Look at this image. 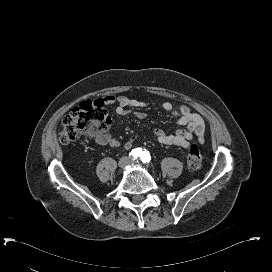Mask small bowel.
<instances>
[{"mask_svg": "<svg viewBox=\"0 0 272 272\" xmlns=\"http://www.w3.org/2000/svg\"><path fill=\"white\" fill-rule=\"evenodd\" d=\"M107 99L111 103H117L116 113L118 115H134L139 119L147 118V113L143 111H131V108L142 109L147 107L148 104L143 101L130 99L124 96H108ZM162 108L165 111L170 112L172 116L176 118L177 124L186 125L187 127L186 129L177 130L174 133H166L161 129H155L153 133L161 144L189 148L194 135L199 142L202 143L204 141L206 126L199 114L193 113L189 107L184 105L180 106L178 109H174L172 103L169 101H164L162 103ZM139 137L140 135L138 133H133L126 141L125 147L127 149L131 148L138 141ZM93 138L97 143L112 148H118L121 145V142L117 138L112 137L108 132H102Z\"/></svg>", "mask_w": 272, "mask_h": 272, "instance_id": "1", "label": "small bowel"}]
</instances>
